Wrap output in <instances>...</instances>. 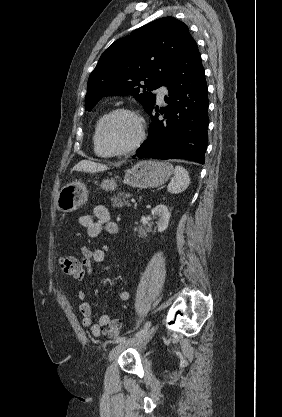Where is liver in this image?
Returning <instances> with one entry per match:
<instances>
[{"mask_svg": "<svg viewBox=\"0 0 282 417\" xmlns=\"http://www.w3.org/2000/svg\"><path fill=\"white\" fill-rule=\"evenodd\" d=\"M109 166L106 164H101V162H93V160H80L72 170H83V172H102V170H107Z\"/></svg>", "mask_w": 282, "mask_h": 417, "instance_id": "liver-1", "label": "liver"}]
</instances>
